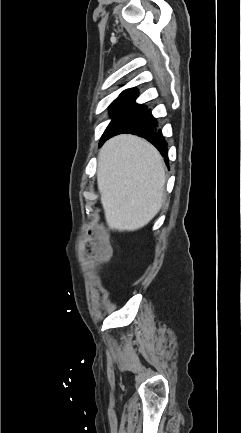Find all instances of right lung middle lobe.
Returning a JSON list of instances; mask_svg holds the SVG:
<instances>
[{
	"instance_id": "obj_1",
	"label": "right lung middle lobe",
	"mask_w": 241,
	"mask_h": 433,
	"mask_svg": "<svg viewBox=\"0 0 241 433\" xmlns=\"http://www.w3.org/2000/svg\"><path fill=\"white\" fill-rule=\"evenodd\" d=\"M135 99L136 97H118L110 105L109 111L113 119L106 128L100 143L106 137L125 130L147 110L146 106L136 104Z\"/></svg>"
}]
</instances>
